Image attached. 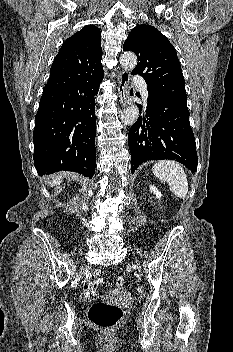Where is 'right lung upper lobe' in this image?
I'll list each match as a JSON object with an SVG mask.
<instances>
[{"mask_svg":"<svg viewBox=\"0 0 233 352\" xmlns=\"http://www.w3.org/2000/svg\"><path fill=\"white\" fill-rule=\"evenodd\" d=\"M100 39L101 32L94 25L84 26L69 37L54 59L43 92L61 90L102 73Z\"/></svg>","mask_w":233,"mask_h":352,"instance_id":"1","label":"right lung upper lobe"}]
</instances>
